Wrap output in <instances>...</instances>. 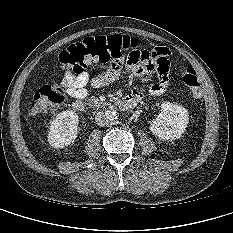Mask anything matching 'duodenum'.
Segmentation results:
<instances>
[{"instance_id":"obj_1","label":"duodenum","mask_w":233,"mask_h":233,"mask_svg":"<svg viewBox=\"0 0 233 233\" xmlns=\"http://www.w3.org/2000/svg\"><path fill=\"white\" fill-rule=\"evenodd\" d=\"M139 97L135 95H128L118 100L117 105L124 110L133 109L139 102ZM74 111L83 112L86 109V105L82 100H76L72 103Z\"/></svg>"}]
</instances>
